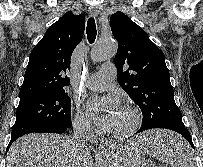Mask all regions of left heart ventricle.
Segmentation results:
<instances>
[{"mask_svg": "<svg viewBox=\"0 0 203 167\" xmlns=\"http://www.w3.org/2000/svg\"><path fill=\"white\" fill-rule=\"evenodd\" d=\"M132 122L130 114L124 109L120 111L113 119L110 130L122 131L127 129Z\"/></svg>", "mask_w": 203, "mask_h": 167, "instance_id": "b2bd125f", "label": "left heart ventricle"}]
</instances>
